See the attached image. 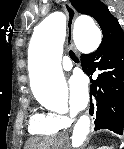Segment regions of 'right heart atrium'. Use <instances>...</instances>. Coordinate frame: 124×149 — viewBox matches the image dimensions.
I'll return each instance as SVG.
<instances>
[{
    "label": "right heart atrium",
    "mask_w": 124,
    "mask_h": 149,
    "mask_svg": "<svg viewBox=\"0 0 124 149\" xmlns=\"http://www.w3.org/2000/svg\"><path fill=\"white\" fill-rule=\"evenodd\" d=\"M57 118L60 121V123L64 126H67L70 122V119L63 115H57Z\"/></svg>",
    "instance_id": "d8ad5b80"
}]
</instances>
